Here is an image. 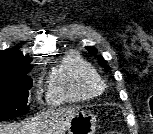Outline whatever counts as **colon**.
I'll return each instance as SVG.
<instances>
[{"label": "colon", "mask_w": 153, "mask_h": 134, "mask_svg": "<svg viewBox=\"0 0 153 134\" xmlns=\"http://www.w3.org/2000/svg\"><path fill=\"white\" fill-rule=\"evenodd\" d=\"M104 134H120V133H118L117 131H109V132H106Z\"/></svg>", "instance_id": "colon-1"}]
</instances>
